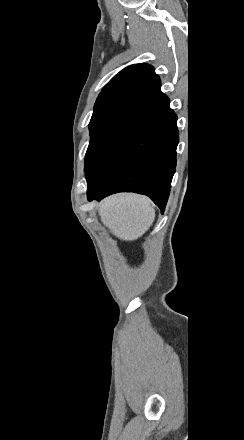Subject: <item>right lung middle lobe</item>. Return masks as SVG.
Instances as JSON below:
<instances>
[{
	"instance_id": "dd1d6c3e",
	"label": "right lung middle lobe",
	"mask_w": 244,
	"mask_h": 440,
	"mask_svg": "<svg viewBox=\"0 0 244 440\" xmlns=\"http://www.w3.org/2000/svg\"><path fill=\"white\" fill-rule=\"evenodd\" d=\"M139 100L135 97H118L96 101L89 123L91 140L85 156L86 172L106 137Z\"/></svg>"
}]
</instances>
